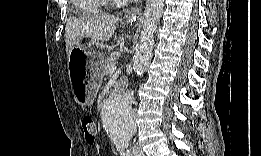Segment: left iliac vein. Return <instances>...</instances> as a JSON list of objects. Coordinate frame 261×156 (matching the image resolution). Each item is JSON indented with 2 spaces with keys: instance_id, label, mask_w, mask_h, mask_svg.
I'll list each match as a JSON object with an SVG mask.
<instances>
[{
  "instance_id": "left-iliac-vein-1",
  "label": "left iliac vein",
  "mask_w": 261,
  "mask_h": 156,
  "mask_svg": "<svg viewBox=\"0 0 261 156\" xmlns=\"http://www.w3.org/2000/svg\"><path fill=\"white\" fill-rule=\"evenodd\" d=\"M133 154L136 156H144V152L141 150V148L138 145L133 146Z\"/></svg>"
}]
</instances>
